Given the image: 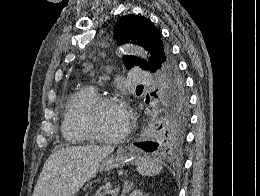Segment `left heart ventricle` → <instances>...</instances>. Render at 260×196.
Wrapping results in <instances>:
<instances>
[{"mask_svg": "<svg viewBox=\"0 0 260 196\" xmlns=\"http://www.w3.org/2000/svg\"><path fill=\"white\" fill-rule=\"evenodd\" d=\"M80 120L84 115V110H75ZM126 109L118 104H111L101 107L93 118L94 128L104 134L117 135L126 126Z\"/></svg>", "mask_w": 260, "mask_h": 196, "instance_id": "1", "label": "left heart ventricle"}]
</instances>
